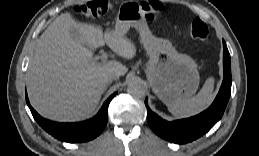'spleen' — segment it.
Wrapping results in <instances>:
<instances>
[{
    "instance_id": "1",
    "label": "spleen",
    "mask_w": 259,
    "mask_h": 156,
    "mask_svg": "<svg viewBox=\"0 0 259 156\" xmlns=\"http://www.w3.org/2000/svg\"><path fill=\"white\" fill-rule=\"evenodd\" d=\"M214 79L212 77L205 81L200 92L187 100L168 105V110L176 117H189L206 109L213 101Z\"/></svg>"
}]
</instances>
